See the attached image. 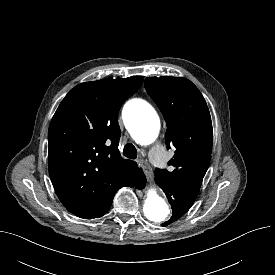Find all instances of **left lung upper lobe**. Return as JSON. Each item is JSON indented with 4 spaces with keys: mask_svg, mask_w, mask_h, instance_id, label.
I'll use <instances>...</instances> for the list:
<instances>
[{
    "mask_svg": "<svg viewBox=\"0 0 275 275\" xmlns=\"http://www.w3.org/2000/svg\"><path fill=\"white\" fill-rule=\"evenodd\" d=\"M145 87L165 118L167 148H176L168 162L174 169L155 172L171 183L200 189L213 143L210 112L203 95L182 77H149L145 79Z\"/></svg>",
    "mask_w": 275,
    "mask_h": 275,
    "instance_id": "5c2ea615",
    "label": "left lung upper lobe"
}]
</instances>
